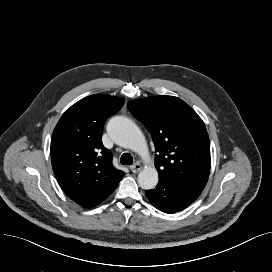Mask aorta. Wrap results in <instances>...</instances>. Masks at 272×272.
Instances as JSON below:
<instances>
[{"label": "aorta", "instance_id": "1", "mask_svg": "<svg viewBox=\"0 0 272 272\" xmlns=\"http://www.w3.org/2000/svg\"><path fill=\"white\" fill-rule=\"evenodd\" d=\"M109 136L120 146L132 149L142 157L149 155L147 143L142 131L130 119L116 116L107 124ZM138 184L142 189H153L158 183V172L154 166H145L138 174Z\"/></svg>", "mask_w": 272, "mask_h": 272}]
</instances>
